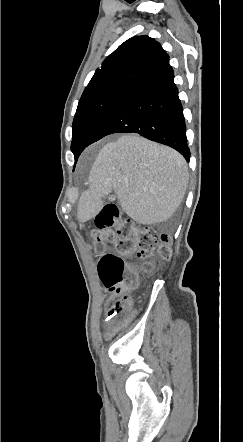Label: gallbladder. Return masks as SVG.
<instances>
[{
	"instance_id": "obj_1",
	"label": "gallbladder",
	"mask_w": 243,
	"mask_h": 442,
	"mask_svg": "<svg viewBox=\"0 0 243 442\" xmlns=\"http://www.w3.org/2000/svg\"><path fill=\"white\" fill-rule=\"evenodd\" d=\"M110 199H118L117 194L116 193H109L108 195H104V197H103L104 204L109 203Z\"/></svg>"
}]
</instances>
